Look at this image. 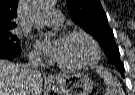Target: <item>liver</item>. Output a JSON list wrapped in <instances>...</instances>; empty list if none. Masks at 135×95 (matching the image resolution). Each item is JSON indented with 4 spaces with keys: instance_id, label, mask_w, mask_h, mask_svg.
<instances>
[{
    "instance_id": "obj_1",
    "label": "liver",
    "mask_w": 135,
    "mask_h": 95,
    "mask_svg": "<svg viewBox=\"0 0 135 95\" xmlns=\"http://www.w3.org/2000/svg\"><path fill=\"white\" fill-rule=\"evenodd\" d=\"M42 88L40 73L29 77L24 65L0 60V95H41Z\"/></svg>"
}]
</instances>
